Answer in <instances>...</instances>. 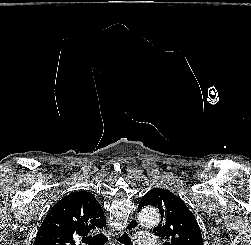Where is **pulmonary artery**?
Here are the masks:
<instances>
[{
    "label": "pulmonary artery",
    "instance_id": "e3ab8cb5",
    "mask_svg": "<svg viewBox=\"0 0 251 245\" xmlns=\"http://www.w3.org/2000/svg\"><path fill=\"white\" fill-rule=\"evenodd\" d=\"M137 245H156V238L144 232L135 234Z\"/></svg>",
    "mask_w": 251,
    "mask_h": 245
}]
</instances>
